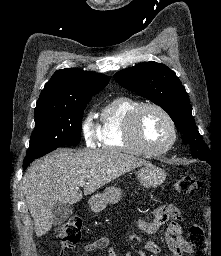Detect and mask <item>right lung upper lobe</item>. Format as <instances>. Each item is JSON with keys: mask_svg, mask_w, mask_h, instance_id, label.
<instances>
[{"mask_svg": "<svg viewBox=\"0 0 221 256\" xmlns=\"http://www.w3.org/2000/svg\"><path fill=\"white\" fill-rule=\"evenodd\" d=\"M108 82L106 75L79 68L58 70L45 84L35 112L78 106L81 100L92 98Z\"/></svg>", "mask_w": 221, "mask_h": 256, "instance_id": "right-lung-upper-lobe-1", "label": "right lung upper lobe"}]
</instances>
